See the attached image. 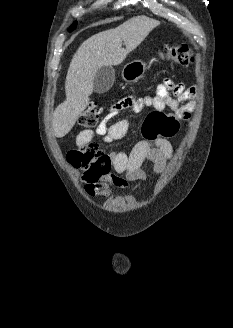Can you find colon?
I'll list each match as a JSON object with an SVG mask.
<instances>
[{
	"instance_id": "1",
	"label": "colon",
	"mask_w": 233,
	"mask_h": 328,
	"mask_svg": "<svg viewBox=\"0 0 233 328\" xmlns=\"http://www.w3.org/2000/svg\"><path fill=\"white\" fill-rule=\"evenodd\" d=\"M165 59L185 67L194 61L191 48L187 45L168 46L162 50ZM101 108L90 104L80 115L81 126L92 129L99 120ZM179 130V120L174 114L154 110L147 115L142 125V135L146 141L174 136ZM68 162L75 168L83 170L82 180L87 188H94L110 172L111 158L98 143H86L70 150Z\"/></svg>"
}]
</instances>
